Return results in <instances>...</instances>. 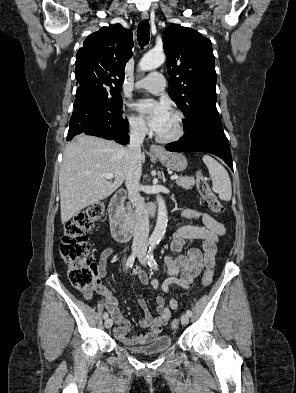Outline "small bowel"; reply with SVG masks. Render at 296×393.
I'll return each mask as SVG.
<instances>
[{"mask_svg": "<svg viewBox=\"0 0 296 393\" xmlns=\"http://www.w3.org/2000/svg\"><path fill=\"white\" fill-rule=\"evenodd\" d=\"M183 216L188 219L199 218L202 220L203 226L185 225L176 229L170 248L178 255L165 258L166 271L170 277L160 283L155 278L149 280L147 273L139 267H134L131 271L132 275L136 276L142 284L150 283L153 289H161L166 295H169L171 285L175 284L188 289L204 267H214L219 237L226 233L225 226L206 212L185 209ZM193 241H200L201 249L190 248L184 252L185 246ZM114 251V247H107L102 252L98 265L100 277L106 275L108 259ZM93 292H97L104 297L103 306L116 323L114 328L116 338L121 343L129 346L149 344L169 322L171 310L178 308V302L174 298L169 296V302L166 305L164 297L159 295L155 299L158 315L153 317L146 301L138 300V304L144 313L143 317L138 320V324L143 328H148V331L144 334L129 336L130 322L122 315L118 300L113 293L103 286L100 281L92 290L85 293L84 297L90 299Z\"/></svg>", "mask_w": 296, "mask_h": 393, "instance_id": "c3829d8e", "label": "small bowel"}]
</instances>
